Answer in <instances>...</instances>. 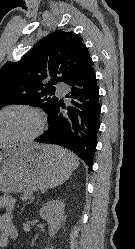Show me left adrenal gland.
<instances>
[{
    "instance_id": "obj_1",
    "label": "left adrenal gland",
    "mask_w": 135,
    "mask_h": 249,
    "mask_svg": "<svg viewBox=\"0 0 135 249\" xmlns=\"http://www.w3.org/2000/svg\"><path fill=\"white\" fill-rule=\"evenodd\" d=\"M34 200V198L31 200V202ZM25 207V206H24ZM24 207L22 208V210L21 211H23L24 210Z\"/></svg>"
}]
</instances>
